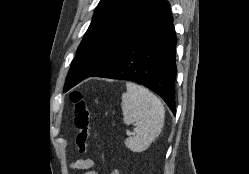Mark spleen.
<instances>
[{
    "mask_svg": "<svg viewBox=\"0 0 249 174\" xmlns=\"http://www.w3.org/2000/svg\"><path fill=\"white\" fill-rule=\"evenodd\" d=\"M127 91L122 95L124 123L135 124L134 135L126 139L131 151H145L163 128L165 111L160 99L148 89L135 83H126Z\"/></svg>",
    "mask_w": 249,
    "mask_h": 174,
    "instance_id": "3e777b00",
    "label": "spleen"
}]
</instances>
